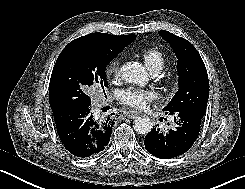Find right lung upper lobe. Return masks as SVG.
<instances>
[{
	"mask_svg": "<svg viewBox=\"0 0 245 189\" xmlns=\"http://www.w3.org/2000/svg\"><path fill=\"white\" fill-rule=\"evenodd\" d=\"M135 38L136 35L115 36L107 33L96 32L73 40L66 46V48L74 45H87L97 48L104 53L117 56V54L135 40ZM51 108L53 112L58 110L55 107Z\"/></svg>",
	"mask_w": 245,
	"mask_h": 189,
	"instance_id": "obj_1",
	"label": "right lung upper lobe"
}]
</instances>
